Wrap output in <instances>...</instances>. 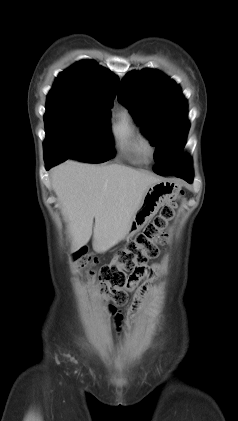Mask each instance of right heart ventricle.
Returning a JSON list of instances; mask_svg holds the SVG:
<instances>
[{"instance_id":"right-heart-ventricle-1","label":"right heart ventricle","mask_w":238,"mask_h":421,"mask_svg":"<svg viewBox=\"0 0 238 421\" xmlns=\"http://www.w3.org/2000/svg\"><path fill=\"white\" fill-rule=\"evenodd\" d=\"M112 134L123 152L133 155L139 162L145 161L144 139L127 111L117 115Z\"/></svg>"}]
</instances>
